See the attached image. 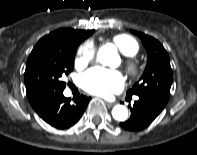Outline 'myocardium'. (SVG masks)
<instances>
[{"mask_svg": "<svg viewBox=\"0 0 197 155\" xmlns=\"http://www.w3.org/2000/svg\"><path fill=\"white\" fill-rule=\"evenodd\" d=\"M125 70L131 77H137L141 73V66L134 58H128L125 61Z\"/></svg>", "mask_w": 197, "mask_h": 155, "instance_id": "obj_1", "label": "myocardium"}]
</instances>
